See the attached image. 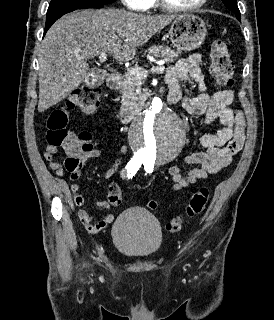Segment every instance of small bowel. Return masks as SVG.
<instances>
[{"label": "small bowel", "mask_w": 274, "mask_h": 320, "mask_svg": "<svg viewBox=\"0 0 274 320\" xmlns=\"http://www.w3.org/2000/svg\"><path fill=\"white\" fill-rule=\"evenodd\" d=\"M200 56L190 55L187 58L179 60L174 66L170 67L166 73V83L169 91H176L181 95L180 81L191 80L198 89V94L194 97H183V107L193 115L203 117L204 125H210L219 121L221 127L215 133H207L199 137V144L204 151L188 154L184 158L186 167L172 165L167 173L173 183L172 192L180 191L197 181L207 178L209 175L219 172L226 168L233 158L239 153L245 143V120L240 111L230 108L234 99V92L230 89L219 91L213 95L209 94L200 69ZM43 156V163H49V167L55 171L57 177H63L64 168L61 163L54 161L58 148L57 146H48ZM122 154L127 152L126 146L121 148ZM101 155V149L88 147L83 152V158H97ZM123 163V156H120L104 172L105 179L113 178L119 171ZM80 177L78 170L72 178L77 180ZM73 203L76 206L84 207L87 202L80 193V186L73 183L70 186ZM96 207L108 209L110 204L103 200L95 203ZM81 223L86 227L93 224L94 217L84 208L77 212ZM114 216L105 214L97 223L100 229L112 223Z\"/></svg>", "instance_id": "small-bowel-1"}]
</instances>
